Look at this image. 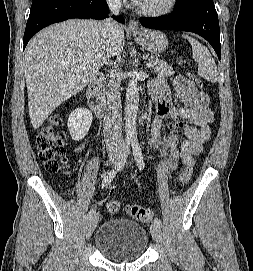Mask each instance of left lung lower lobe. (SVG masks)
<instances>
[{
    "label": "left lung lower lobe",
    "instance_id": "obj_1",
    "mask_svg": "<svg viewBox=\"0 0 253 271\" xmlns=\"http://www.w3.org/2000/svg\"><path fill=\"white\" fill-rule=\"evenodd\" d=\"M150 29H167L194 32L205 38L221 59L220 28L213 0L177 1L174 11L167 16L140 18Z\"/></svg>",
    "mask_w": 253,
    "mask_h": 271
}]
</instances>
